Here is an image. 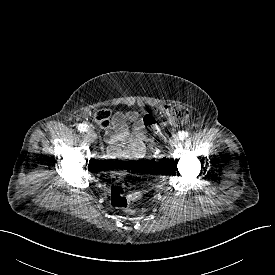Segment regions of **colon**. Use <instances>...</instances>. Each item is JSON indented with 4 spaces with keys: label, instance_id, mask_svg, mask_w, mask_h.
<instances>
[{
    "label": "colon",
    "instance_id": "obj_1",
    "mask_svg": "<svg viewBox=\"0 0 275 275\" xmlns=\"http://www.w3.org/2000/svg\"><path fill=\"white\" fill-rule=\"evenodd\" d=\"M163 115L173 125H184L190 119V112L188 108L181 103H174L165 106ZM94 120L102 127H108L110 122V111L105 108L95 110L93 114ZM148 135L146 143L149 148H152L154 139L159 134L160 129L152 117H147L145 120ZM145 163L149 169L158 171L161 169V159L154 152H150ZM113 172L115 179L110 186V202L113 207L131 212V203L139 201L143 194L139 190L132 189L130 185L122 179L126 172V167L121 164L113 165Z\"/></svg>",
    "mask_w": 275,
    "mask_h": 275
}]
</instances>
